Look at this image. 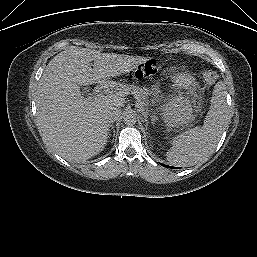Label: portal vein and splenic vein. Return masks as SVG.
<instances>
[{"label":"portal vein and splenic vein","mask_w":257,"mask_h":257,"mask_svg":"<svg viewBox=\"0 0 257 257\" xmlns=\"http://www.w3.org/2000/svg\"><path fill=\"white\" fill-rule=\"evenodd\" d=\"M103 97H104V95L99 94V95L94 96V99L97 100V99H100ZM136 106H138L137 103H136Z\"/></svg>","instance_id":"obj_1"}]
</instances>
